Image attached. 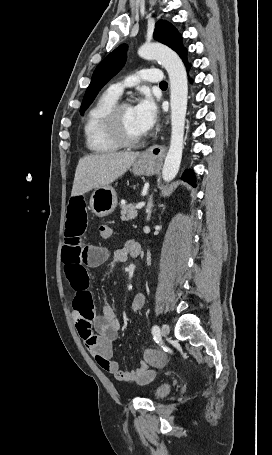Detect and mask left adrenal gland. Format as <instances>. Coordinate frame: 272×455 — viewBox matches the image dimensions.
<instances>
[{"instance_id": "1", "label": "left adrenal gland", "mask_w": 272, "mask_h": 455, "mask_svg": "<svg viewBox=\"0 0 272 455\" xmlns=\"http://www.w3.org/2000/svg\"><path fill=\"white\" fill-rule=\"evenodd\" d=\"M152 207H153V201H152V198H150L148 203H147V208H146L147 221H149L150 218H151Z\"/></svg>"}]
</instances>
